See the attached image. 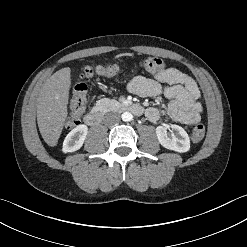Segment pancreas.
Listing matches in <instances>:
<instances>
[{
  "label": "pancreas",
  "instance_id": "pancreas-1",
  "mask_svg": "<svg viewBox=\"0 0 247 247\" xmlns=\"http://www.w3.org/2000/svg\"><path fill=\"white\" fill-rule=\"evenodd\" d=\"M121 106V103H119L117 100L109 99V98H103L96 102V107L100 111H111Z\"/></svg>",
  "mask_w": 247,
  "mask_h": 247
}]
</instances>
